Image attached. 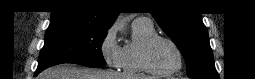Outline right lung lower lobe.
<instances>
[{"instance_id": "obj_1", "label": "right lung lower lobe", "mask_w": 255, "mask_h": 79, "mask_svg": "<svg viewBox=\"0 0 255 79\" xmlns=\"http://www.w3.org/2000/svg\"><path fill=\"white\" fill-rule=\"evenodd\" d=\"M42 70L37 69L35 72V76H37Z\"/></svg>"}]
</instances>
